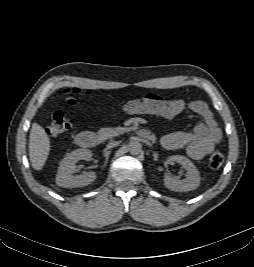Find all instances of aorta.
<instances>
[{
	"mask_svg": "<svg viewBox=\"0 0 254 267\" xmlns=\"http://www.w3.org/2000/svg\"><path fill=\"white\" fill-rule=\"evenodd\" d=\"M128 149L132 155H138L142 151V145L139 141H131L128 145Z\"/></svg>",
	"mask_w": 254,
	"mask_h": 267,
	"instance_id": "1",
	"label": "aorta"
}]
</instances>
